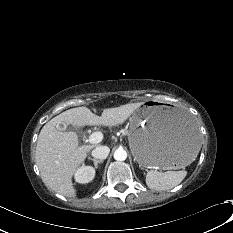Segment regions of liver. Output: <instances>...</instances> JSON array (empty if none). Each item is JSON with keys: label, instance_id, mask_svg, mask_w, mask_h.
<instances>
[{"label": "liver", "instance_id": "6515ba94", "mask_svg": "<svg viewBox=\"0 0 233 233\" xmlns=\"http://www.w3.org/2000/svg\"><path fill=\"white\" fill-rule=\"evenodd\" d=\"M143 103H128L104 109L97 116L87 107L66 110L48 121L40 131L36 146V164L46 187L66 197H75L76 189L72 177L84 162L92 145L79 146L75 132H63L59 124L74 127L87 125L116 126L124 123Z\"/></svg>", "mask_w": 233, "mask_h": 233}]
</instances>
